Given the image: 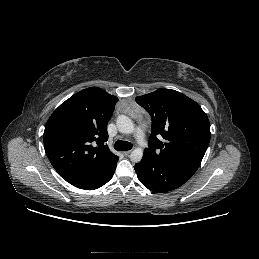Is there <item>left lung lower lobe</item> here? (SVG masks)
<instances>
[{"mask_svg": "<svg viewBox=\"0 0 259 259\" xmlns=\"http://www.w3.org/2000/svg\"><path fill=\"white\" fill-rule=\"evenodd\" d=\"M134 169L140 182L154 192L174 190L187 182L196 172L147 154H144L143 160Z\"/></svg>", "mask_w": 259, "mask_h": 259, "instance_id": "1", "label": "left lung lower lobe"}]
</instances>
